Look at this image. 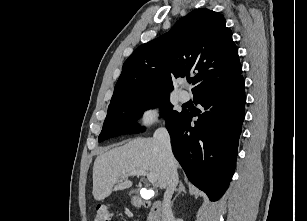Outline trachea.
Returning a JSON list of instances; mask_svg holds the SVG:
<instances>
[{
	"label": "trachea",
	"instance_id": "1",
	"mask_svg": "<svg viewBox=\"0 0 307 221\" xmlns=\"http://www.w3.org/2000/svg\"><path fill=\"white\" fill-rule=\"evenodd\" d=\"M187 82H188V83H191V82H192V80H191V79H187Z\"/></svg>",
	"mask_w": 307,
	"mask_h": 221
}]
</instances>
